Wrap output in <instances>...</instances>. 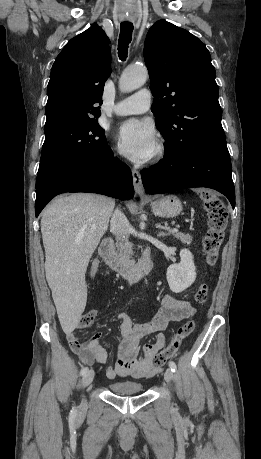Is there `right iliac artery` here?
<instances>
[{
  "label": "right iliac artery",
  "instance_id": "obj_1",
  "mask_svg": "<svg viewBox=\"0 0 261 459\" xmlns=\"http://www.w3.org/2000/svg\"><path fill=\"white\" fill-rule=\"evenodd\" d=\"M87 371H88V367L82 368L81 371H80V375H84ZM74 412H75V409L72 410V413H74Z\"/></svg>",
  "mask_w": 261,
  "mask_h": 459
}]
</instances>
